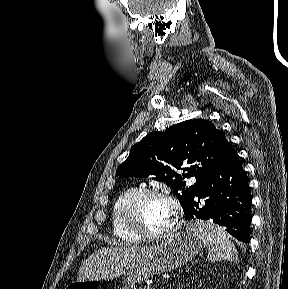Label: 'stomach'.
Returning a JSON list of instances; mask_svg holds the SVG:
<instances>
[{
	"mask_svg": "<svg viewBox=\"0 0 288 289\" xmlns=\"http://www.w3.org/2000/svg\"><path fill=\"white\" fill-rule=\"evenodd\" d=\"M202 241L192 226L173 234L137 262L95 279L73 282L65 289H130L150 277L172 271L192 260L201 250Z\"/></svg>",
	"mask_w": 288,
	"mask_h": 289,
	"instance_id": "stomach-1",
	"label": "stomach"
}]
</instances>
